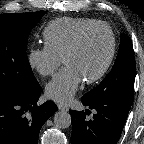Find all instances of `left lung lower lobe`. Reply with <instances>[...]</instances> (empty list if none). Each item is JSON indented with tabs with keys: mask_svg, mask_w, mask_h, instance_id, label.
<instances>
[{
	"mask_svg": "<svg viewBox=\"0 0 144 144\" xmlns=\"http://www.w3.org/2000/svg\"><path fill=\"white\" fill-rule=\"evenodd\" d=\"M81 102L96 113L87 120L88 109L85 112L70 111L72 144H116L133 102L111 96L96 100L82 98Z\"/></svg>",
	"mask_w": 144,
	"mask_h": 144,
	"instance_id": "0a47b994",
	"label": "left lung lower lobe"
}]
</instances>
